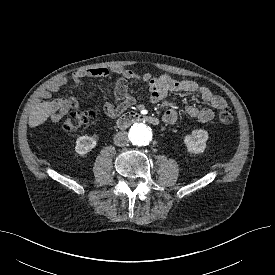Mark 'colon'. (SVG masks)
<instances>
[{
    "label": "colon",
    "instance_id": "colon-1",
    "mask_svg": "<svg viewBox=\"0 0 275 275\" xmlns=\"http://www.w3.org/2000/svg\"><path fill=\"white\" fill-rule=\"evenodd\" d=\"M96 116L94 110L78 111L72 110L63 120L62 127L67 132L76 131ZM218 120L222 124H230L233 114L230 108L224 107L218 112Z\"/></svg>",
    "mask_w": 275,
    "mask_h": 275
}]
</instances>
